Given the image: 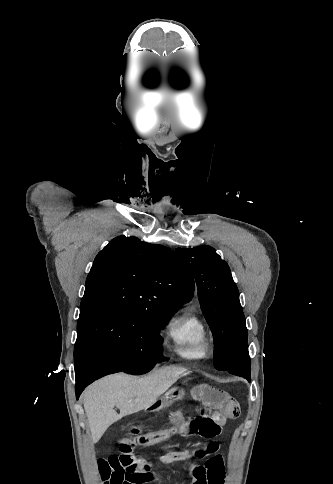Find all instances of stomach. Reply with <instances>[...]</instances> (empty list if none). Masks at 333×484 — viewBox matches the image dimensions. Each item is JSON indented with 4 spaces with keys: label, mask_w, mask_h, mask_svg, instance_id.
<instances>
[{
    "label": "stomach",
    "mask_w": 333,
    "mask_h": 484,
    "mask_svg": "<svg viewBox=\"0 0 333 484\" xmlns=\"http://www.w3.org/2000/svg\"><path fill=\"white\" fill-rule=\"evenodd\" d=\"M183 396L184 391L182 389L177 387L173 388L168 391L160 400L156 401L152 406H150L146 411H158L160 409L170 407L174 400L182 399Z\"/></svg>",
    "instance_id": "0dacf381"
}]
</instances>
